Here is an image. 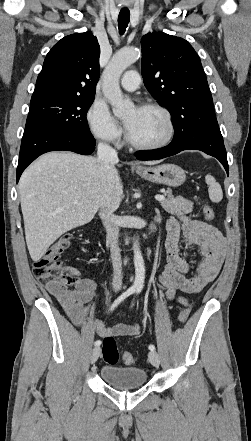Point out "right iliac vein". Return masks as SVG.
Segmentation results:
<instances>
[{
  "instance_id": "1",
  "label": "right iliac vein",
  "mask_w": 251,
  "mask_h": 441,
  "mask_svg": "<svg viewBox=\"0 0 251 441\" xmlns=\"http://www.w3.org/2000/svg\"><path fill=\"white\" fill-rule=\"evenodd\" d=\"M100 353H101L100 347H95L93 349L91 357H90L91 364H94L97 361V359L99 358Z\"/></svg>"
}]
</instances>
